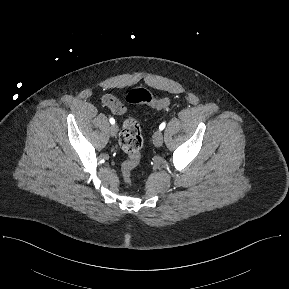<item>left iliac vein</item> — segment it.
<instances>
[{"mask_svg":"<svg viewBox=\"0 0 289 289\" xmlns=\"http://www.w3.org/2000/svg\"><path fill=\"white\" fill-rule=\"evenodd\" d=\"M153 143L156 147H160L163 144V135L162 132L156 131L153 135Z\"/></svg>","mask_w":289,"mask_h":289,"instance_id":"left-iliac-vein-1","label":"left iliac vein"}]
</instances>
